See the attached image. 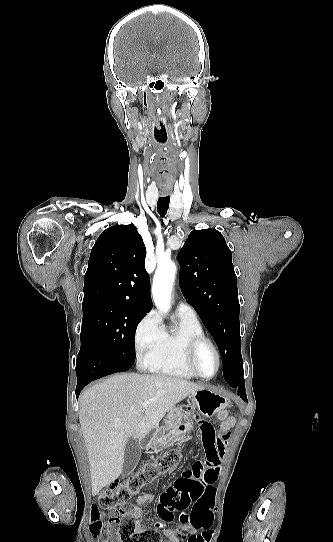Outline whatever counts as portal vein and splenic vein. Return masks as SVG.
<instances>
[{
  "mask_svg": "<svg viewBox=\"0 0 333 542\" xmlns=\"http://www.w3.org/2000/svg\"><path fill=\"white\" fill-rule=\"evenodd\" d=\"M149 404H150V402H143L142 406H143V408H148Z\"/></svg>",
  "mask_w": 333,
  "mask_h": 542,
  "instance_id": "obj_1",
  "label": "portal vein and splenic vein"
}]
</instances>
